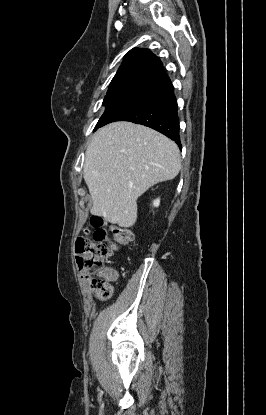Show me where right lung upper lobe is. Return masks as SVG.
Returning a JSON list of instances; mask_svg holds the SVG:
<instances>
[{
  "mask_svg": "<svg viewBox=\"0 0 266 415\" xmlns=\"http://www.w3.org/2000/svg\"><path fill=\"white\" fill-rule=\"evenodd\" d=\"M171 82L159 58L148 49L134 48L113 77L108 92L135 91L147 94Z\"/></svg>",
  "mask_w": 266,
  "mask_h": 415,
  "instance_id": "right-lung-upper-lobe-1",
  "label": "right lung upper lobe"
}]
</instances>
